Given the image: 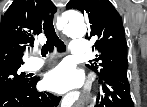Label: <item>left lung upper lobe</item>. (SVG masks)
I'll list each match as a JSON object with an SVG mask.
<instances>
[{
    "instance_id": "1",
    "label": "left lung upper lobe",
    "mask_w": 147,
    "mask_h": 107,
    "mask_svg": "<svg viewBox=\"0 0 147 107\" xmlns=\"http://www.w3.org/2000/svg\"><path fill=\"white\" fill-rule=\"evenodd\" d=\"M67 9H77L87 18L86 39H95L92 47L100 52L86 65L99 77L118 68H128L127 43L122 19L109 0H70Z\"/></svg>"
}]
</instances>
